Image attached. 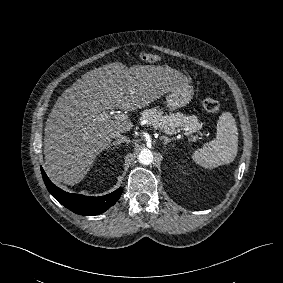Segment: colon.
Masks as SVG:
<instances>
[{
    "label": "colon",
    "instance_id": "1",
    "mask_svg": "<svg viewBox=\"0 0 283 283\" xmlns=\"http://www.w3.org/2000/svg\"><path fill=\"white\" fill-rule=\"evenodd\" d=\"M141 59L146 63H155L160 60V57L153 53L144 52L141 54ZM203 107L207 112L213 114L218 113L221 109L220 103L217 100L209 97L204 99Z\"/></svg>",
    "mask_w": 283,
    "mask_h": 283
}]
</instances>
